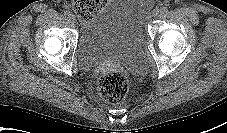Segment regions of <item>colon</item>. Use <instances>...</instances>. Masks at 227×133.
<instances>
[{"instance_id":"5ec220e1","label":"colon","mask_w":227,"mask_h":133,"mask_svg":"<svg viewBox=\"0 0 227 133\" xmlns=\"http://www.w3.org/2000/svg\"><path fill=\"white\" fill-rule=\"evenodd\" d=\"M107 0H73L72 7L83 20L92 18L105 5ZM129 81L119 72H104L96 79L99 95L111 103L122 102L129 93Z\"/></svg>"}]
</instances>
